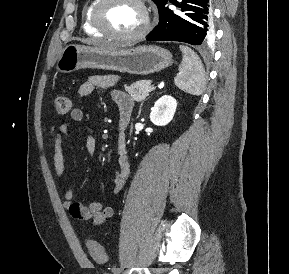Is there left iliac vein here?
<instances>
[{
	"mask_svg": "<svg viewBox=\"0 0 289 274\" xmlns=\"http://www.w3.org/2000/svg\"><path fill=\"white\" fill-rule=\"evenodd\" d=\"M113 274H120L121 273V269L120 268H114L112 270Z\"/></svg>",
	"mask_w": 289,
	"mask_h": 274,
	"instance_id": "1",
	"label": "left iliac vein"
}]
</instances>
